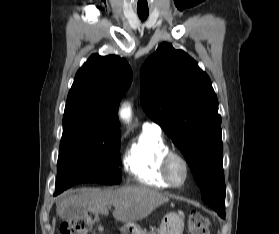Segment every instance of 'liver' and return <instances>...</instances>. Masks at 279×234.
Here are the masks:
<instances>
[{
    "label": "liver",
    "mask_w": 279,
    "mask_h": 234,
    "mask_svg": "<svg viewBox=\"0 0 279 234\" xmlns=\"http://www.w3.org/2000/svg\"><path fill=\"white\" fill-rule=\"evenodd\" d=\"M169 198L143 186H126L115 190L85 189L79 194L64 196L56 207L62 217L70 205H81L87 211L108 215V205L114 206L113 217L121 222H135L150 215Z\"/></svg>",
    "instance_id": "1"
}]
</instances>
